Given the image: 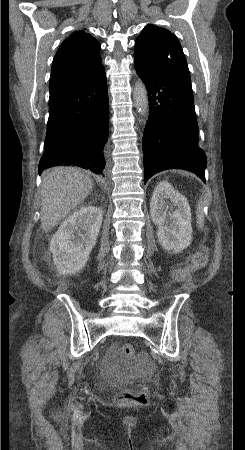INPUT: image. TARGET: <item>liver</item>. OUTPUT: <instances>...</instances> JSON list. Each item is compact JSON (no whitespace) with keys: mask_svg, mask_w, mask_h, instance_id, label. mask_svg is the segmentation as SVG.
<instances>
[{"mask_svg":"<svg viewBox=\"0 0 245 450\" xmlns=\"http://www.w3.org/2000/svg\"><path fill=\"white\" fill-rule=\"evenodd\" d=\"M93 181L72 167L47 170L41 184V228L52 230L92 191Z\"/></svg>","mask_w":245,"mask_h":450,"instance_id":"1","label":"liver"}]
</instances>
